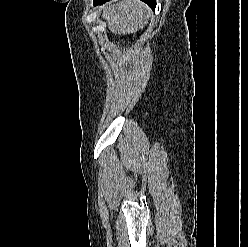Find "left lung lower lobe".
I'll list each match as a JSON object with an SVG mask.
<instances>
[{
    "label": "left lung lower lobe",
    "instance_id": "left-lung-lower-lobe-1",
    "mask_svg": "<svg viewBox=\"0 0 248 247\" xmlns=\"http://www.w3.org/2000/svg\"><path fill=\"white\" fill-rule=\"evenodd\" d=\"M107 1H109V0H94V6L101 5ZM142 1H144L146 4H148L152 9H155L156 0H142Z\"/></svg>",
    "mask_w": 248,
    "mask_h": 247
}]
</instances>
